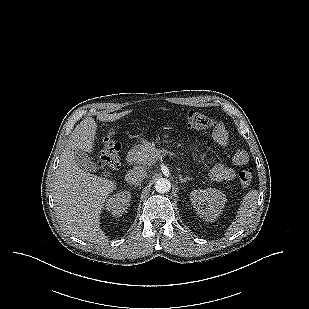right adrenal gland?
<instances>
[{
	"mask_svg": "<svg viewBox=\"0 0 309 309\" xmlns=\"http://www.w3.org/2000/svg\"><path fill=\"white\" fill-rule=\"evenodd\" d=\"M130 186H132L131 184H130ZM136 186H138V185H135L134 187H136ZM140 188V187H139Z\"/></svg>",
	"mask_w": 309,
	"mask_h": 309,
	"instance_id": "2a0ac1e0",
	"label": "right adrenal gland"
}]
</instances>
